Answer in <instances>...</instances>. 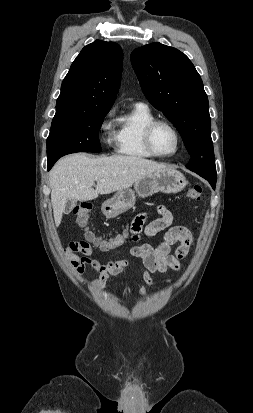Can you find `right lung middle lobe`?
Segmentation results:
<instances>
[{"mask_svg": "<svg viewBox=\"0 0 253 413\" xmlns=\"http://www.w3.org/2000/svg\"><path fill=\"white\" fill-rule=\"evenodd\" d=\"M108 112L54 117L47 138L48 162L70 153L101 152L98 131Z\"/></svg>", "mask_w": 253, "mask_h": 413, "instance_id": "1", "label": "right lung middle lobe"}]
</instances>
